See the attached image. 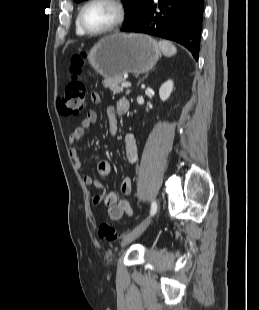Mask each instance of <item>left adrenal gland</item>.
I'll return each mask as SVG.
<instances>
[{
  "label": "left adrenal gland",
  "instance_id": "1",
  "mask_svg": "<svg viewBox=\"0 0 259 310\" xmlns=\"http://www.w3.org/2000/svg\"><path fill=\"white\" fill-rule=\"evenodd\" d=\"M146 77H147V76H145L141 81H143ZM141 81H139V83H140Z\"/></svg>",
  "mask_w": 259,
  "mask_h": 310
}]
</instances>
